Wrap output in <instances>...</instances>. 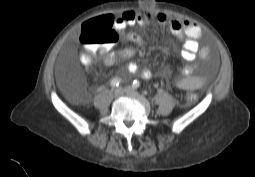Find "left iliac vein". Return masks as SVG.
Instances as JSON below:
<instances>
[{
  "mask_svg": "<svg viewBox=\"0 0 255 177\" xmlns=\"http://www.w3.org/2000/svg\"><path fill=\"white\" fill-rule=\"evenodd\" d=\"M125 93H127V94H135L136 91L134 89H132L131 87H126L125 88Z\"/></svg>",
  "mask_w": 255,
  "mask_h": 177,
  "instance_id": "4c4485c4",
  "label": "left iliac vein"
}]
</instances>
